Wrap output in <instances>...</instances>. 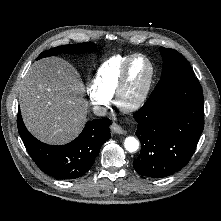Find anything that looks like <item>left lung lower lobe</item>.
Listing matches in <instances>:
<instances>
[{
	"label": "left lung lower lobe",
	"mask_w": 221,
	"mask_h": 221,
	"mask_svg": "<svg viewBox=\"0 0 221 221\" xmlns=\"http://www.w3.org/2000/svg\"><path fill=\"white\" fill-rule=\"evenodd\" d=\"M134 118L141 142L140 155L133 162L136 172L162 178L179 171L192 157L204 127L200 82L189 77L153 90Z\"/></svg>",
	"instance_id": "left-lung-lower-lobe-1"
}]
</instances>
